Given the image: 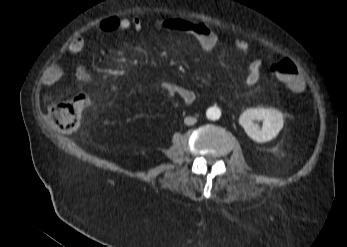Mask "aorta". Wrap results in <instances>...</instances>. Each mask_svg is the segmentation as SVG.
<instances>
[{"label": "aorta", "mask_w": 347, "mask_h": 247, "mask_svg": "<svg viewBox=\"0 0 347 247\" xmlns=\"http://www.w3.org/2000/svg\"><path fill=\"white\" fill-rule=\"evenodd\" d=\"M207 118L210 120H218L221 116V112L219 109L210 108L207 110Z\"/></svg>", "instance_id": "aorta-1"}]
</instances>
